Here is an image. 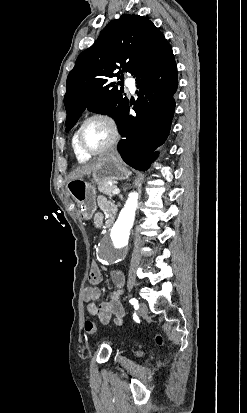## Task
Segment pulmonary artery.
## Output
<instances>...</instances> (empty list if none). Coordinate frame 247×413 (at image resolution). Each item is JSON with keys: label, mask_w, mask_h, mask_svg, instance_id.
<instances>
[{"label": "pulmonary artery", "mask_w": 247, "mask_h": 413, "mask_svg": "<svg viewBox=\"0 0 247 413\" xmlns=\"http://www.w3.org/2000/svg\"><path fill=\"white\" fill-rule=\"evenodd\" d=\"M124 82H125V85L130 89V90H134V88H135V84H134V80H133V78L131 77V76H125V78H124Z\"/></svg>", "instance_id": "pulmonary-artery-1"}]
</instances>
